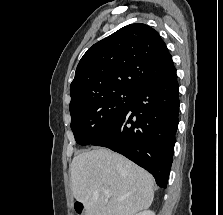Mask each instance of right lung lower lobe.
Masks as SVG:
<instances>
[{
    "label": "right lung lower lobe",
    "instance_id": "obj_1",
    "mask_svg": "<svg viewBox=\"0 0 223 215\" xmlns=\"http://www.w3.org/2000/svg\"><path fill=\"white\" fill-rule=\"evenodd\" d=\"M178 89L176 73L141 88L120 120L91 145L126 156L166 188L178 127Z\"/></svg>",
    "mask_w": 223,
    "mask_h": 215
}]
</instances>
